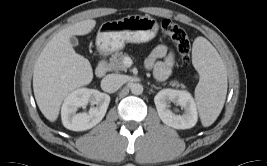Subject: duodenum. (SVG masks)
Returning <instances> with one entry per match:
<instances>
[{"label":"duodenum","mask_w":267,"mask_h":166,"mask_svg":"<svg viewBox=\"0 0 267 166\" xmlns=\"http://www.w3.org/2000/svg\"><path fill=\"white\" fill-rule=\"evenodd\" d=\"M106 72H107V63L105 57L102 56L96 66L95 73L97 77L101 78L106 74Z\"/></svg>","instance_id":"1"}]
</instances>
